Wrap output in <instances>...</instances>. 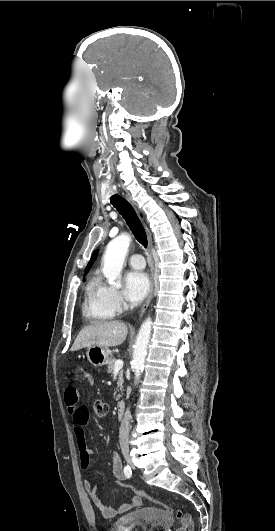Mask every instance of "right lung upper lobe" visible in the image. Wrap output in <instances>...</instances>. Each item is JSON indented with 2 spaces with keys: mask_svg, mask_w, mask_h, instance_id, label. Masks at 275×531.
<instances>
[{
  "mask_svg": "<svg viewBox=\"0 0 275 531\" xmlns=\"http://www.w3.org/2000/svg\"><path fill=\"white\" fill-rule=\"evenodd\" d=\"M96 256H97V251L92 255V257H91V259H90L85 271H88L90 269V267L92 266L93 262L96 259Z\"/></svg>",
  "mask_w": 275,
  "mask_h": 531,
  "instance_id": "1",
  "label": "right lung upper lobe"
}]
</instances>
